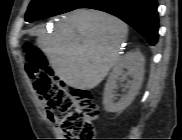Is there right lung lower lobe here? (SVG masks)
Wrapping results in <instances>:
<instances>
[{"instance_id":"98d812e1","label":"right lung lower lobe","mask_w":182,"mask_h":140,"mask_svg":"<svg viewBox=\"0 0 182 140\" xmlns=\"http://www.w3.org/2000/svg\"><path fill=\"white\" fill-rule=\"evenodd\" d=\"M157 0H87L79 8L113 14L142 34L150 45L158 41Z\"/></svg>"}]
</instances>
